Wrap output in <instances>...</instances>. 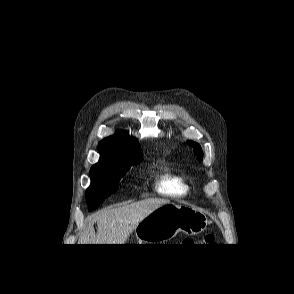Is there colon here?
I'll list each match as a JSON object with an SVG mask.
<instances>
[{"label": "colon", "mask_w": 294, "mask_h": 294, "mask_svg": "<svg viewBox=\"0 0 294 294\" xmlns=\"http://www.w3.org/2000/svg\"><path fill=\"white\" fill-rule=\"evenodd\" d=\"M205 241L208 242V243L212 242V241H213V236H211V235H207V236L205 237Z\"/></svg>", "instance_id": "1"}]
</instances>
